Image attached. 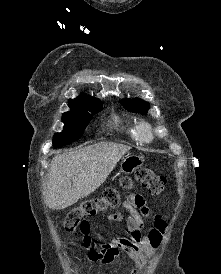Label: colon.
<instances>
[{
	"label": "colon",
	"mask_w": 221,
	"mask_h": 274,
	"mask_svg": "<svg viewBox=\"0 0 221 274\" xmlns=\"http://www.w3.org/2000/svg\"><path fill=\"white\" fill-rule=\"evenodd\" d=\"M134 182L141 185L152 195H160L166 186L165 177L157 174L153 169L148 167L137 169L132 177H123L120 185L123 189H129L133 186ZM119 198L120 193L116 188H107L101 196L85 200L67 214L64 220L65 230L70 235H73L85 218L115 206Z\"/></svg>",
	"instance_id": "1"
}]
</instances>
